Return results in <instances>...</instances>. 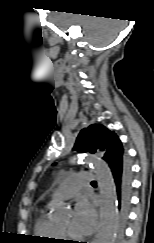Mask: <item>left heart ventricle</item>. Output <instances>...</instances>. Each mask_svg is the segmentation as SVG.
I'll return each mask as SVG.
<instances>
[{"instance_id": "b2bd125f", "label": "left heart ventricle", "mask_w": 154, "mask_h": 243, "mask_svg": "<svg viewBox=\"0 0 154 243\" xmlns=\"http://www.w3.org/2000/svg\"><path fill=\"white\" fill-rule=\"evenodd\" d=\"M59 228H61L62 230L66 231V232H69L71 234H74L72 231H71V221L70 219L66 220L65 222L59 224L58 226Z\"/></svg>"}]
</instances>
